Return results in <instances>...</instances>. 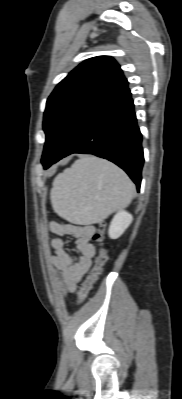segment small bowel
I'll list each match as a JSON object with an SVG mask.
<instances>
[{"label": "small bowel", "instance_id": "c3829d8e", "mask_svg": "<svg viewBox=\"0 0 182 399\" xmlns=\"http://www.w3.org/2000/svg\"><path fill=\"white\" fill-rule=\"evenodd\" d=\"M50 230L57 235L50 240L54 253L49 255L55 286L61 294L73 293L92 266L95 246L91 243V238L95 233V227L69 222H51ZM64 236L74 240L78 256H73L67 251L66 241L62 238Z\"/></svg>", "mask_w": 182, "mask_h": 399}]
</instances>
